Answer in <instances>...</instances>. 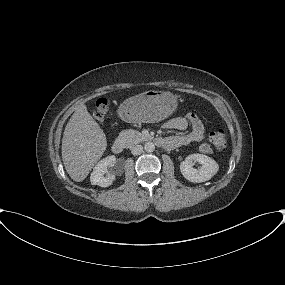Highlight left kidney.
Masks as SVG:
<instances>
[{
  "mask_svg": "<svg viewBox=\"0 0 285 285\" xmlns=\"http://www.w3.org/2000/svg\"><path fill=\"white\" fill-rule=\"evenodd\" d=\"M193 161L201 164L198 169L193 168ZM219 166L215 160L203 154H191L180 163V170L184 178L194 183L210 180L218 171Z\"/></svg>",
  "mask_w": 285,
  "mask_h": 285,
  "instance_id": "5707ae66",
  "label": "left kidney"
}]
</instances>
